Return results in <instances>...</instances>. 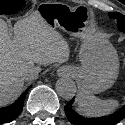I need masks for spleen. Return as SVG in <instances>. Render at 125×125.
<instances>
[{"label":"spleen","instance_id":"obj_1","mask_svg":"<svg viewBox=\"0 0 125 125\" xmlns=\"http://www.w3.org/2000/svg\"><path fill=\"white\" fill-rule=\"evenodd\" d=\"M76 110L88 117L102 116L111 113L118 106L117 100H102L86 90H80L77 95Z\"/></svg>","mask_w":125,"mask_h":125}]
</instances>
